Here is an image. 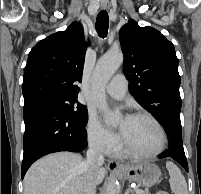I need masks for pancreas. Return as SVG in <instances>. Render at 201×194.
Returning <instances> with one entry per match:
<instances>
[{"label":"pancreas","instance_id":"pancreas-1","mask_svg":"<svg viewBox=\"0 0 201 194\" xmlns=\"http://www.w3.org/2000/svg\"><path fill=\"white\" fill-rule=\"evenodd\" d=\"M143 194H150L148 191H143Z\"/></svg>","mask_w":201,"mask_h":194}]
</instances>
